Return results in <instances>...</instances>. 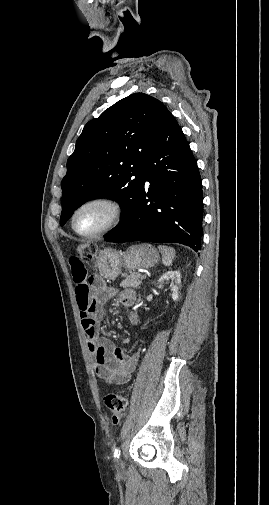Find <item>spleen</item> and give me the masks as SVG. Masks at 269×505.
<instances>
[{
    "instance_id": "1",
    "label": "spleen",
    "mask_w": 269,
    "mask_h": 505,
    "mask_svg": "<svg viewBox=\"0 0 269 505\" xmlns=\"http://www.w3.org/2000/svg\"><path fill=\"white\" fill-rule=\"evenodd\" d=\"M158 249L162 255V263L165 266H170L175 258L174 248L165 245H159Z\"/></svg>"
}]
</instances>
